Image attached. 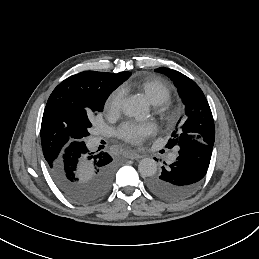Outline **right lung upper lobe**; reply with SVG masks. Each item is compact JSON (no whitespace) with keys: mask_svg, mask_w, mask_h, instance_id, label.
I'll return each instance as SVG.
<instances>
[{"mask_svg":"<svg viewBox=\"0 0 259 259\" xmlns=\"http://www.w3.org/2000/svg\"><path fill=\"white\" fill-rule=\"evenodd\" d=\"M131 75L86 71L62 81L51 93L42 118L41 143L48 165L73 145L70 134L83 125L97 99L106 97Z\"/></svg>","mask_w":259,"mask_h":259,"instance_id":"right-lung-upper-lobe-1","label":"right lung upper lobe"}]
</instances>
